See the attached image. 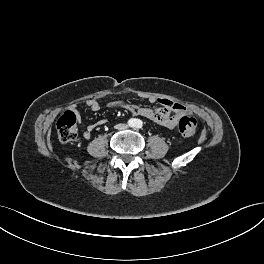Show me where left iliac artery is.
<instances>
[{"label":"left iliac artery","instance_id":"obj_1","mask_svg":"<svg viewBox=\"0 0 264 264\" xmlns=\"http://www.w3.org/2000/svg\"><path fill=\"white\" fill-rule=\"evenodd\" d=\"M137 127H138V128H141V127H142V122H141V121H138V122H137Z\"/></svg>","mask_w":264,"mask_h":264}]
</instances>
